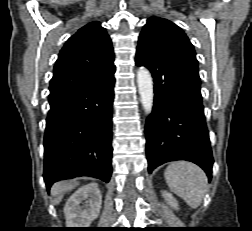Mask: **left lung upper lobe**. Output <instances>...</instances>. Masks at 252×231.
<instances>
[{
	"label": "left lung upper lobe",
	"mask_w": 252,
	"mask_h": 231,
	"mask_svg": "<svg viewBox=\"0 0 252 231\" xmlns=\"http://www.w3.org/2000/svg\"><path fill=\"white\" fill-rule=\"evenodd\" d=\"M137 51L174 54L198 63L194 47L183 30L160 17L147 20L138 40Z\"/></svg>",
	"instance_id": "5c2ea615"
}]
</instances>
